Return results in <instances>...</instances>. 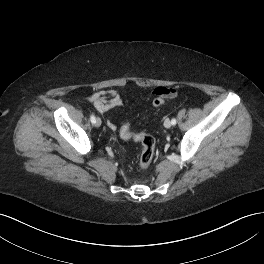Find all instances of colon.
I'll return each mask as SVG.
<instances>
[{"instance_id": "1", "label": "colon", "mask_w": 264, "mask_h": 264, "mask_svg": "<svg viewBox=\"0 0 264 264\" xmlns=\"http://www.w3.org/2000/svg\"><path fill=\"white\" fill-rule=\"evenodd\" d=\"M164 101L165 100L162 98H154L152 103L154 106L157 107V106H161L164 103ZM120 136L124 140H133L141 144L142 150L138 160V167L141 170H145L146 168H148L155 154V147H156L155 138L150 134L132 132L128 124H124L121 127Z\"/></svg>"}]
</instances>
